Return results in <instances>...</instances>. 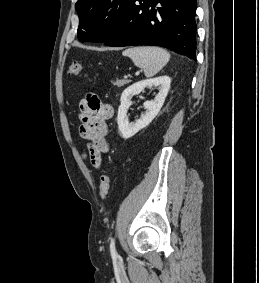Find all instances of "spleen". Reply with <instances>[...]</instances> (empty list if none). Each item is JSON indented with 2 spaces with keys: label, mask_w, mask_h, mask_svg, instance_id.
<instances>
[{
  "label": "spleen",
  "mask_w": 259,
  "mask_h": 283,
  "mask_svg": "<svg viewBox=\"0 0 259 283\" xmlns=\"http://www.w3.org/2000/svg\"><path fill=\"white\" fill-rule=\"evenodd\" d=\"M135 66L142 68L146 77L156 75L169 61L170 54L163 48L155 46L132 47L123 51Z\"/></svg>",
  "instance_id": "3e777b00"
}]
</instances>
